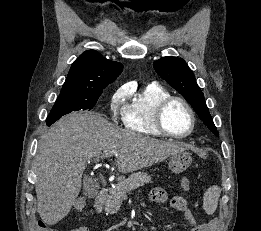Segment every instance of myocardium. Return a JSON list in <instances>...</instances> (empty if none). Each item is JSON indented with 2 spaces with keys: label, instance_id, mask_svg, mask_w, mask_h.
<instances>
[{
  "label": "myocardium",
  "instance_id": "1",
  "mask_svg": "<svg viewBox=\"0 0 261 231\" xmlns=\"http://www.w3.org/2000/svg\"><path fill=\"white\" fill-rule=\"evenodd\" d=\"M175 101L182 103L186 107V109L189 113L190 119H191V125H190L189 130L183 134H174V133L170 132L167 129V127L165 125V121H164V115H165L166 109L172 102H175ZM155 125H156L157 129L166 136H169L172 138H177V139L186 138L195 129L196 116H195L192 106L190 105V103L187 100H185L184 98L179 97V96L170 95L169 97L165 98L157 105L156 111H155Z\"/></svg>",
  "mask_w": 261,
  "mask_h": 231
}]
</instances>
